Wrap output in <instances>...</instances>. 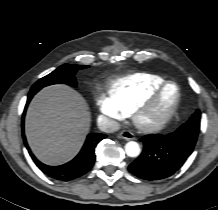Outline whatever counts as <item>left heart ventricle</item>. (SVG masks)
I'll use <instances>...</instances> for the list:
<instances>
[{
	"label": "left heart ventricle",
	"mask_w": 218,
	"mask_h": 210,
	"mask_svg": "<svg viewBox=\"0 0 218 210\" xmlns=\"http://www.w3.org/2000/svg\"><path fill=\"white\" fill-rule=\"evenodd\" d=\"M177 97V88L174 85H169L161 94L155 105L147 112L144 117L145 122L158 121L162 119Z\"/></svg>",
	"instance_id": "1"
}]
</instances>
